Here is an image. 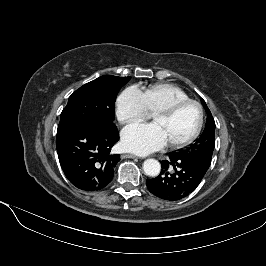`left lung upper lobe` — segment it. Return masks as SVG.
<instances>
[{
  "mask_svg": "<svg viewBox=\"0 0 266 266\" xmlns=\"http://www.w3.org/2000/svg\"><path fill=\"white\" fill-rule=\"evenodd\" d=\"M206 111L208 113L205 129L198 140L184 150L177 152L179 157L202 172L206 173L208 170L212 153L215 147V122L210 110L208 109L205 101L201 99Z\"/></svg>",
  "mask_w": 266,
  "mask_h": 266,
  "instance_id": "obj_1",
  "label": "left lung upper lobe"
}]
</instances>
